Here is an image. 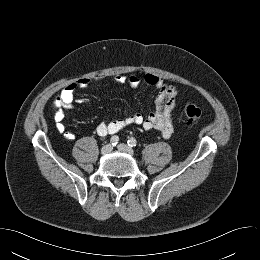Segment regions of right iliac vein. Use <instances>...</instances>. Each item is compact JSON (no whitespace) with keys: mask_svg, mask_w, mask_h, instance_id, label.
I'll return each mask as SVG.
<instances>
[{"mask_svg":"<svg viewBox=\"0 0 260 260\" xmlns=\"http://www.w3.org/2000/svg\"><path fill=\"white\" fill-rule=\"evenodd\" d=\"M112 149H113V146H112L111 144H106V145H104V146L102 147L101 153H102L103 155H106V154L110 153V152L112 151Z\"/></svg>","mask_w":260,"mask_h":260,"instance_id":"63e3f726","label":"right iliac vein"}]
</instances>
